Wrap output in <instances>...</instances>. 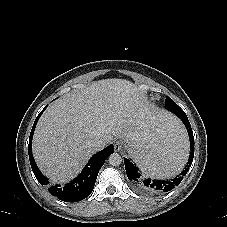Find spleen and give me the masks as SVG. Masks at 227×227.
<instances>
[{"label": "spleen", "mask_w": 227, "mask_h": 227, "mask_svg": "<svg viewBox=\"0 0 227 227\" xmlns=\"http://www.w3.org/2000/svg\"><path fill=\"white\" fill-rule=\"evenodd\" d=\"M126 154L147 175L172 177L184 167L188 156L185 129L172 116L152 118L136 130L126 147Z\"/></svg>", "instance_id": "spleen-1"}]
</instances>
